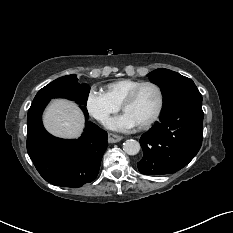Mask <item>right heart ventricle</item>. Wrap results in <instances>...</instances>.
Wrapping results in <instances>:
<instances>
[{
  "mask_svg": "<svg viewBox=\"0 0 233 233\" xmlns=\"http://www.w3.org/2000/svg\"><path fill=\"white\" fill-rule=\"evenodd\" d=\"M140 83H142L140 80L120 79L106 86V94L113 102L121 105L128 93Z\"/></svg>",
  "mask_w": 233,
  "mask_h": 233,
  "instance_id": "right-heart-ventricle-1",
  "label": "right heart ventricle"
}]
</instances>
